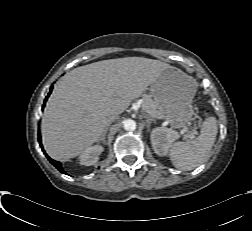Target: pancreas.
<instances>
[{
	"instance_id": "1",
	"label": "pancreas",
	"mask_w": 252,
	"mask_h": 231,
	"mask_svg": "<svg viewBox=\"0 0 252 231\" xmlns=\"http://www.w3.org/2000/svg\"><path fill=\"white\" fill-rule=\"evenodd\" d=\"M143 99H144L143 104L148 107V109L154 114L155 118H158L159 111L152 98L148 95H143Z\"/></svg>"
}]
</instances>
